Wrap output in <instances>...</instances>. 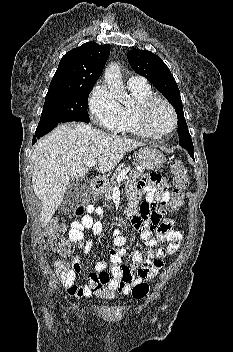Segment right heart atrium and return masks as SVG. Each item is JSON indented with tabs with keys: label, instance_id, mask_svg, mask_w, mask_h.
Returning a JSON list of instances; mask_svg holds the SVG:
<instances>
[{
	"label": "right heart atrium",
	"instance_id": "1",
	"mask_svg": "<svg viewBox=\"0 0 233 352\" xmlns=\"http://www.w3.org/2000/svg\"><path fill=\"white\" fill-rule=\"evenodd\" d=\"M89 109L98 125L110 132H118L121 120V105L106 87L100 83L91 91Z\"/></svg>",
	"mask_w": 233,
	"mask_h": 352
}]
</instances>
